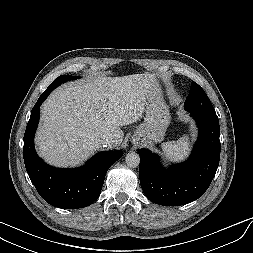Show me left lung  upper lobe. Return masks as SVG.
Segmentation results:
<instances>
[{
  "label": "left lung upper lobe",
  "mask_w": 253,
  "mask_h": 253,
  "mask_svg": "<svg viewBox=\"0 0 253 253\" xmlns=\"http://www.w3.org/2000/svg\"><path fill=\"white\" fill-rule=\"evenodd\" d=\"M184 107L187 111L201 110L215 112L208 96L196 82H192L191 84L190 93Z\"/></svg>",
  "instance_id": "1"
}]
</instances>
